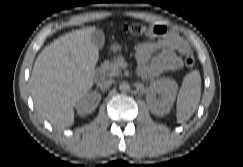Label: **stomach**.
Here are the masks:
<instances>
[{"label": "stomach", "instance_id": "obj_1", "mask_svg": "<svg viewBox=\"0 0 243 167\" xmlns=\"http://www.w3.org/2000/svg\"><path fill=\"white\" fill-rule=\"evenodd\" d=\"M120 49H121V46H120L119 44H117V43L111 45V50H112L113 52H116V51H118V50H120Z\"/></svg>", "mask_w": 243, "mask_h": 167}]
</instances>
